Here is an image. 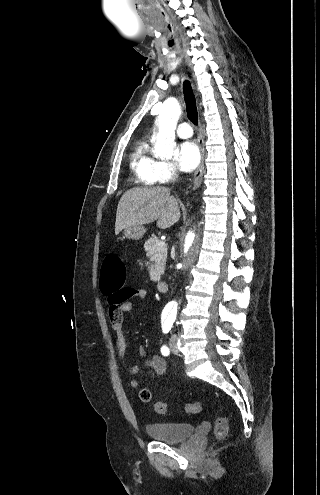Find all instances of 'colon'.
Listing matches in <instances>:
<instances>
[{
    "mask_svg": "<svg viewBox=\"0 0 320 495\" xmlns=\"http://www.w3.org/2000/svg\"><path fill=\"white\" fill-rule=\"evenodd\" d=\"M126 279V269L122 259L117 254H109L104 259L100 271L101 290L110 294L118 292L117 301L122 302L126 299V294L121 291ZM143 402H149L152 399L150 390L143 389L139 394ZM155 411L159 414H165L168 411V404L158 401L154 404ZM201 409L198 402H189L184 405V411L188 414H197ZM228 433V419L224 416L218 417L215 421L214 436L217 440H223Z\"/></svg>",
    "mask_w": 320,
    "mask_h": 495,
    "instance_id": "1",
    "label": "colon"
}]
</instances>
